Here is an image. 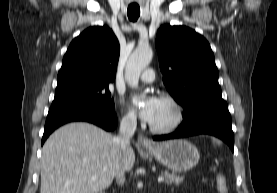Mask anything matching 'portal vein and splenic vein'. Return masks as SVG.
<instances>
[{"mask_svg": "<svg viewBox=\"0 0 277 193\" xmlns=\"http://www.w3.org/2000/svg\"><path fill=\"white\" fill-rule=\"evenodd\" d=\"M164 181V177L163 176H159L158 177V182H163Z\"/></svg>", "mask_w": 277, "mask_h": 193, "instance_id": "18ae733b", "label": "portal vein and splenic vein"}]
</instances>
